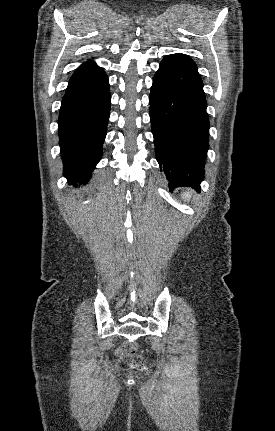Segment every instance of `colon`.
Instances as JSON below:
<instances>
[{
    "mask_svg": "<svg viewBox=\"0 0 275 431\" xmlns=\"http://www.w3.org/2000/svg\"><path fill=\"white\" fill-rule=\"evenodd\" d=\"M120 354L126 359L127 364L133 368L138 369L141 368L144 364L143 357L136 352V344L135 343H125L120 347Z\"/></svg>",
    "mask_w": 275,
    "mask_h": 431,
    "instance_id": "obj_1",
    "label": "colon"
}]
</instances>
